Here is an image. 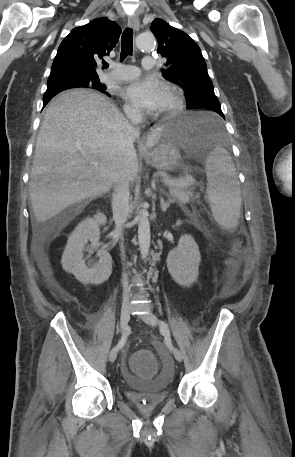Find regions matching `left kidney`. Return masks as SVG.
<instances>
[{
  "label": "left kidney",
  "instance_id": "5707ae66",
  "mask_svg": "<svg viewBox=\"0 0 295 457\" xmlns=\"http://www.w3.org/2000/svg\"><path fill=\"white\" fill-rule=\"evenodd\" d=\"M201 255L190 235H182L178 246L167 256L168 271L173 280L183 287L191 286L198 278Z\"/></svg>",
  "mask_w": 295,
  "mask_h": 457
}]
</instances>
